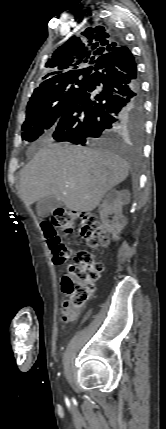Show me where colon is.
<instances>
[{
  "instance_id": "1",
  "label": "colon",
  "mask_w": 166,
  "mask_h": 429,
  "mask_svg": "<svg viewBox=\"0 0 166 429\" xmlns=\"http://www.w3.org/2000/svg\"><path fill=\"white\" fill-rule=\"evenodd\" d=\"M78 223L80 234L88 246L95 248L108 243L107 234L93 214L60 208L53 212L49 222L42 223L53 262L62 264L73 257L74 263L63 276L61 287L74 307H81L92 296L94 283L104 270V265L94 259L90 252L80 250L73 254L56 230L72 232Z\"/></svg>"
}]
</instances>
